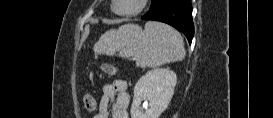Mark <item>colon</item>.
I'll return each instance as SVG.
<instances>
[{
  "instance_id": "5ec220e1",
  "label": "colon",
  "mask_w": 273,
  "mask_h": 118,
  "mask_svg": "<svg viewBox=\"0 0 273 118\" xmlns=\"http://www.w3.org/2000/svg\"><path fill=\"white\" fill-rule=\"evenodd\" d=\"M101 69L105 74L110 76L117 74L116 68L109 64L102 65ZM83 101H84V106L88 111L92 112L95 110L96 104L90 95L88 94L84 95Z\"/></svg>"
}]
</instances>
